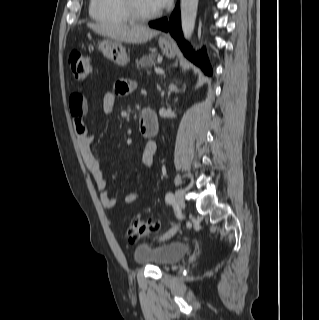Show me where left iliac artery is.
Here are the masks:
<instances>
[{
    "mask_svg": "<svg viewBox=\"0 0 319 320\" xmlns=\"http://www.w3.org/2000/svg\"><path fill=\"white\" fill-rule=\"evenodd\" d=\"M165 200L167 203H172L174 201V195L171 192H168L165 196ZM171 231H169L170 233ZM167 235V234H166Z\"/></svg>",
    "mask_w": 319,
    "mask_h": 320,
    "instance_id": "44dca946",
    "label": "left iliac artery"
}]
</instances>
